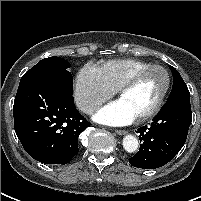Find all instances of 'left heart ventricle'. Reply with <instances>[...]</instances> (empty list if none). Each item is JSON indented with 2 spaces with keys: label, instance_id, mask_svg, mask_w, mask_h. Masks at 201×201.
Returning <instances> with one entry per match:
<instances>
[{
  "label": "left heart ventricle",
  "instance_id": "b2bd125f",
  "mask_svg": "<svg viewBox=\"0 0 201 201\" xmlns=\"http://www.w3.org/2000/svg\"><path fill=\"white\" fill-rule=\"evenodd\" d=\"M165 84L161 70L155 69L145 75L134 86L125 91L120 100L136 117L150 110L158 100Z\"/></svg>",
  "mask_w": 201,
  "mask_h": 201
}]
</instances>
